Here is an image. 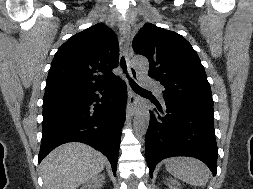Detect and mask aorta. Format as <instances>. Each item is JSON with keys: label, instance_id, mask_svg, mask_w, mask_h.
<instances>
[{"label": "aorta", "instance_id": "762f6f07", "mask_svg": "<svg viewBox=\"0 0 253 189\" xmlns=\"http://www.w3.org/2000/svg\"><path fill=\"white\" fill-rule=\"evenodd\" d=\"M134 66L142 72L149 70L148 60L143 57H135L133 59ZM150 113L146 105H141L135 112L133 127L137 137H143L149 126Z\"/></svg>", "mask_w": 253, "mask_h": 189}]
</instances>
